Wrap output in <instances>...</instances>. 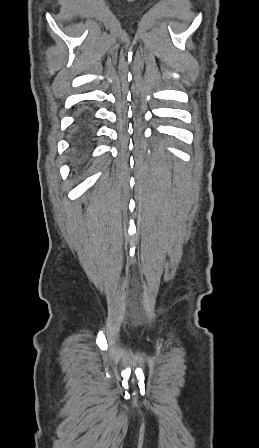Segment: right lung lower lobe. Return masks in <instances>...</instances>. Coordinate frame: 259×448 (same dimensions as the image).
Wrapping results in <instances>:
<instances>
[{
  "instance_id": "1",
  "label": "right lung lower lobe",
  "mask_w": 259,
  "mask_h": 448,
  "mask_svg": "<svg viewBox=\"0 0 259 448\" xmlns=\"http://www.w3.org/2000/svg\"><path fill=\"white\" fill-rule=\"evenodd\" d=\"M89 109L79 111L71 131V155L75 168L82 170L87 163V155L93 138V123Z\"/></svg>"
}]
</instances>
